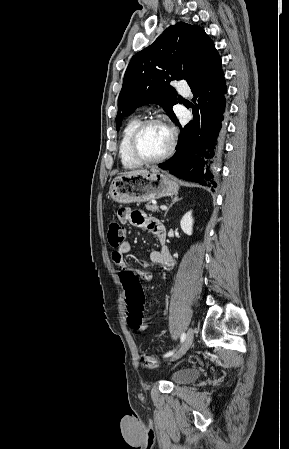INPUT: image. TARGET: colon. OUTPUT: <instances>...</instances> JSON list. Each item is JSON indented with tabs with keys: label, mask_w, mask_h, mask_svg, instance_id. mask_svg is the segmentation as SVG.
Listing matches in <instances>:
<instances>
[{
	"label": "colon",
	"mask_w": 289,
	"mask_h": 449,
	"mask_svg": "<svg viewBox=\"0 0 289 449\" xmlns=\"http://www.w3.org/2000/svg\"><path fill=\"white\" fill-rule=\"evenodd\" d=\"M126 230L117 220H111L108 224L107 238L110 246L118 248L124 243ZM120 284L124 285L127 295V306L129 311L128 323L136 331L141 330L143 326V303L144 294L135 272L129 268H122L118 272ZM143 364L148 368L157 366V359L146 352L141 355Z\"/></svg>",
	"instance_id": "colon-1"
}]
</instances>
